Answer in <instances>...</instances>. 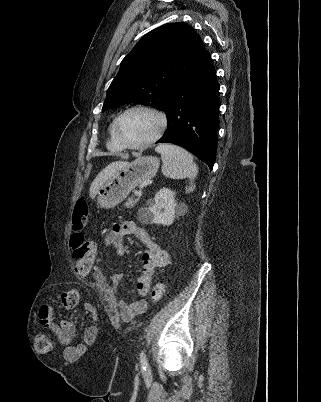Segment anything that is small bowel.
Wrapping results in <instances>:
<instances>
[{
	"label": "small bowel",
	"instance_id": "small-bowel-1",
	"mask_svg": "<svg viewBox=\"0 0 321 402\" xmlns=\"http://www.w3.org/2000/svg\"><path fill=\"white\" fill-rule=\"evenodd\" d=\"M127 235H132L140 240L146 246V251L142 254L141 274L136 281V300L132 303H127L116 298L120 318L123 322H131L137 315L145 312L147 305L144 297L149 292L153 272L157 268L164 267L169 263V253L153 241L148 230L133 221H123L113 224L110 231L104 237V245L112 249L116 256L123 257L126 253L123 238ZM90 272L97 282L107 284L105 273L98 265L93 266ZM120 279V274H114L110 279V289L115 297V288ZM83 308L91 310L93 305L85 303ZM55 312L56 309L53 305L42 304L38 312L41 325L50 329L59 337L64 347L63 354L66 360L72 361L76 358H82L87 347H95V337L98 334V327L95 324L87 326L83 332L84 339L82 340V344H75L73 324L67 320H61L59 323H56L54 321Z\"/></svg>",
	"mask_w": 321,
	"mask_h": 402
}]
</instances>
